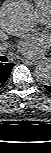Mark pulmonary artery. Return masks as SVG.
Masks as SVG:
<instances>
[{"label": "pulmonary artery", "mask_w": 51, "mask_h": 153, "mask_svg": "<svg viewBox=\"0 0 51 153\" xmlns=\"http://www.w3.org/2000/svg\"><path fill=\"white\" fill-rule=\"evenodd\" d=\"M50 11H43L37 14L38 20L42 23H46L50 19Z\"/></svg>", "instance_id": "e3ab8cb5"}]
</instances>
